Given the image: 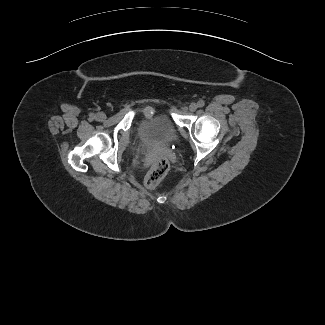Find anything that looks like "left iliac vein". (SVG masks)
<instances>
[{
    "mask_svg": "<svg viewBox=\"0 0 325 325\" xmlns=\"http://www.w3.org/2000/svg\"><path fill=\"white\" fill-rule=\"evenodd\" d=\"M197 108H198V105H197L196 103H191L190 106H189V110H190L191 112L196 111Z\"/></svg>",
    "mask_w": 325,
    "mask_h": 325,
    "instance_id": "obj_1",
    "label": "left iliac vein"
}]
</instances>
